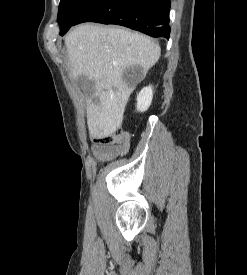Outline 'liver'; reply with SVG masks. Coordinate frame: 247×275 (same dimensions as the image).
Here are the masks:
<instances>
[{
  "mask_svg": "<svg viewBox=\"0 0 247 275\" xmlns=\"http://www.w3.org/2000/svg\"><path fill=\"white\" fill-rule=\"evenodd\" d=\"M73 78L85 76L95 83L87 100V125L92 138L118 130L135 88L123 80L128 67L140 66L143 75L158 61L160 47L148 36L130 30L84 24L65 38Z\"/></svg>",
  "mask_w": 247,
  "mask_h": 275,
  "instance_id": "liver-1",
  "label": "liver"
}]
</instances>
